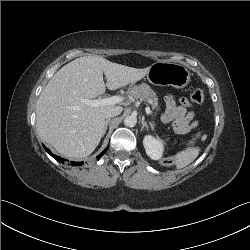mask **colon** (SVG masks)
<instances>
[{"label":"colon","instance_id":"obj_1","mask_svg":"<svg viewBox=\"0 0 250 250\" xmlns=\"http://www.w3.org/2000/svg\"><path fill=\"white\" fill-rule=\"evenodd\" d=\"M191 99L193 102L197 104L203 103L205 99L204 91L201 88H196L191 93ZM201 132H198L190 141V145H193L197 140L201 137ZM188 154L187 148H182L181 150L177 151V155L175 156H164L159 155L157 157V162L161 164L163 167H173L175 164H178L182 161L184 155Z\"/></svg>","mask_w":250,"mask_h":250}]
</instances>
